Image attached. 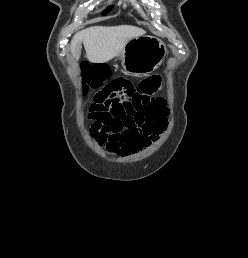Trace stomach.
Here are the masks:
<instances>
[{
  "mask_svg": "<svg viewBox=\"0 0 248 258\" xmlns=\"http://www.w3.org/2000/svg\"><path fill=\"white\" fill-rule=\"evenodd\" d=\"M166 55L164 43L149 35L136 37L127 42L119 58L129 74L144 75L156 70Z\"/></svg>",
  "mask_w": 248,
  "mask_h": 258,
  "instance_id": "stomach-1",
  "label": "stomach"
}]
</instances>
